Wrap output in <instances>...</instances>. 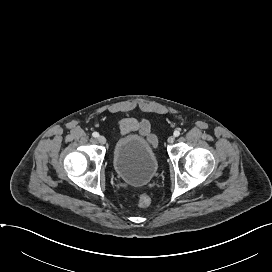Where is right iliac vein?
I'll return each mask as SVG.
<instances>
[{"label": "right iliac vein", "instance_id": "1", "mask_svg": "<svg viewBox=\"0 0 272 272\" xmlns=\"http://www.w3.org/2000/svg\"><path fill=\"white\" fill-rule=\"evenodd\" d=\"M98 142H99L100 144H105V143H106V138H105L104 136H99V137H98Z\"/></svg>", "mask_w": 272, "mask_h": 272}]
</instances>
